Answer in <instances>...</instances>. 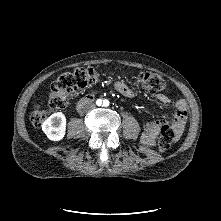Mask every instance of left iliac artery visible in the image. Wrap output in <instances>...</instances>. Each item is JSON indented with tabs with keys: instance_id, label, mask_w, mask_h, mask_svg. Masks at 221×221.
Listing matches in <instances>:
<instances>
[{
	"instance_id": "left-iliac-artery-1",
	"label": "left iliac artery",
	"mask_w": 221,
	"mask_h": 221,
	"mask_svg": "<svg viewBox=\"0 0 221 221\" xmlns=\"http://www.w3.org/2000/svg\"><path fill=\"white\" fill-rule=\"evenodd\" d=\"M103 105H104V106H108V105H109V101H108V100H104V101H103Z\"/></svg>"
}]
</instances>
